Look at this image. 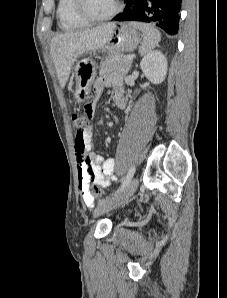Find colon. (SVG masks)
Wrapping results in <instances>:
<instances>
[{
    "label": "colon",
    "mask_w": 227,
    "mask_h": 298,
    "mask_svg": "<svg viewBox=\"0 0 227 298\" xmlns=\"http://www.w3.org/2000/svg\"><path fill=\"white\" fill-rule=\"evenodd\" d=\"M92 104V103H87ZM92 115H85L84 113H74L72 115V125L75 130V149L83 156L85 145H84V134L89 128L90 118ZM92 193L100 198L103 195L102 190L98 186L92 188Z\"/></svg>",
    "instance_id": "obj_1"
}]
</instances>
